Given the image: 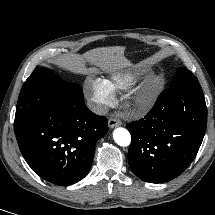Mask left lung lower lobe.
Wrapping results in <instances>:
<instances>
[{
    "label": "left lung lower lobe",
    "instance_id": "0a47b994",
    "mask_svg": "<svg viewBox=\"0 0 215 215\" xmlns=\"http://www.w3.org/2000/svg\"><path fill=\"white\" fill-rule=\"evenodd\" d=\"M207 127L204 94L168 88L152 110L127 124L132 172L145 182L163 183L179 176L194 160Z\"/></svg>",
    "mask_w": 215,
    "mask_h": 215
}]
</instances>
